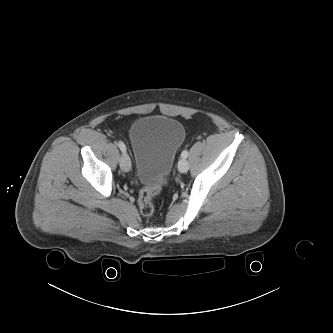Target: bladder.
Masks as SVG:
<instances>
[{
  "mask_svg": "<svg viewBox=\"0 0 333 333\" xmlns=\"http://www.w3.org/2000/svg\"><path fill=\"white\" fill-rule=\"evenodd\" d=\"M129 140L138 179L143 184L155 185L169 176L185 140V128L171 117L145 116L131 125Z\"/></svg>",
  "mask_w": 333,
  "mask_h": 333,
  "instance_id": "1",
  "label": "bladder"
}]
</instances>
